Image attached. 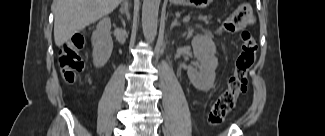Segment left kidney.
Instances as JSON below:
<instances>
[{
    "mask_svg": "<svg viewBox=\"0 0 325 136\" xmlns=\"http://www.w3.org/2000/svg\"><path fill=\"white\" fill-rule=\"evenodd\" d=\"M191 44L197 62L188 67V78L199 91H209L214 85L215 70L218 66L215 43L205 34L195 35Z\"/></svg>",
    "mask_w": 325,
    "mask_h": 136,
    "instance_id": "obj_1",
    "label": "left kidney"
}]
</instances>
